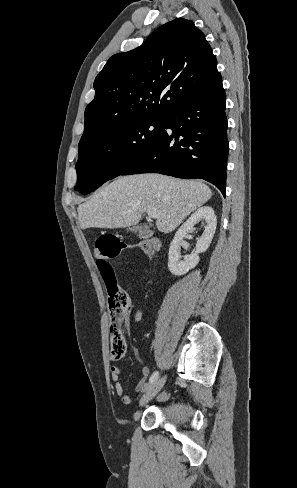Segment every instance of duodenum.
<instances>
[{"mask_svg": "<svg viewBox=\"0 0 297 488\" xmlns=\"http://www.w3.org/2000/svg\"><path fill=\"white\" fill-rule=\"evenodd\" d=\"M153 244H154V247L155 248H158L159 247V243L157 240H153Z\"/></svg>", "mask_w": 297, "mask_h": 488, "instance_id": "410a0bca", "label": "duodenum"}]
</instances>
